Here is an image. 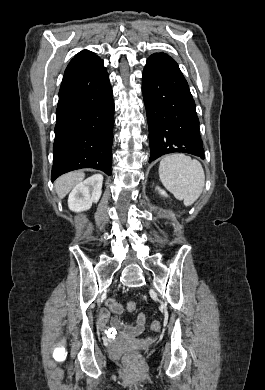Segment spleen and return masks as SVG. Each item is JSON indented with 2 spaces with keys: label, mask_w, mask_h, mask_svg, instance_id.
I'll return each instance as SVG.
<instances>
[{
  "label": "spleen",
  "mask_w": 265,
  "mask_h": 390,
  "mask_svg": "<svg viewBox=\"0 0 265 390\" xmlns=\"http://www.w3.org/2000/svg\"><path fill=\"white\" fill-rule=\"evenodd\" d=\"M162 184L185 206L192 205L200 196L205 184L201 163L183 154H172L162 159L159 166Z\"/></svg>",
  "instance_id": "3e777b00"
}]
</instances>
